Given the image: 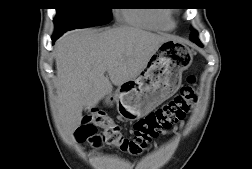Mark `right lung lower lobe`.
Instances as JSON below:
<instances>
[{"label": "right lung lower lobe", "instance_id": "obj_1", "mask_svg": "<svg viewBox=\"0 0 252 169\" xmlns=\"http://www.w3.org/2000/svg\"><path fill=\"white\" fill-rule=\"evenodd\" d=\"M62 34H63V33H61V32H55L54 35H53V37H52L53 43H54V41H56L57 38L60 37Z\"/></svg>", "mask_w": 252, "mask_h": 169}]
</instances>
